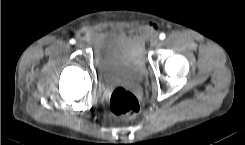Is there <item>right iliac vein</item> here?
I'll use <instances>...</instances> for the list:
<instances>
[{
	"label": "right iliac vein",
	"mask_w": 245,
	"mask_h": 145,
	"mask_svg": "<svg viewBox=\"0 0 245 145\" xmlns=\"http://www.w3.org/2000/svg\"><path fill=\"white\" fill-rule=\"evenodd\" d=\"M75 46L78 48L83 47V42L81 40L76 41Z\"/></svg>",
	"instance_id": "63e3f726"
}]
</instances>
